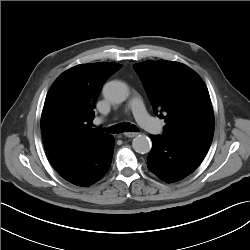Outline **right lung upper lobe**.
I'll return each instance as SVG.
<instances>
[{
	"mask_svg": "<svg viewBox=\"0 0 250 250\" xmlns=\"http://www.w3.org/2000/svg\"><path fill=\"white\" fill-rule=\"evenodd\" d=\"M121 67L106 62L77 65L53 83L44 103L41 131L47 155L56 170L110 136L91 126L103 84Z\"/></svg>",
	"mask_w": 250,
	"mask_h": 250,
	"instance_id": "1",
	"label": "right lung upper lobe"
}]
</instances>
